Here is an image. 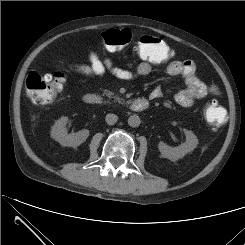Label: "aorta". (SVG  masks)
I'll return each mask as SVG.
<instances>
[{"mask_svg": "<svg viewBox=\"0 0 245 245\" xmlns=\"http://www.w3.org/2000/svg\"><path fill=\"white\" fill-rule=\"evenodd\" d=\"M141 123V120L139 118V116L137 115H131L129 118H128V125L130 127H138Z\"/></svg>", "mask_w": 245, "mask_h": 245, "instance_id": "aorta-1", "label": "aorta"}]
</instances>
